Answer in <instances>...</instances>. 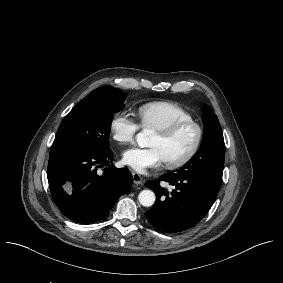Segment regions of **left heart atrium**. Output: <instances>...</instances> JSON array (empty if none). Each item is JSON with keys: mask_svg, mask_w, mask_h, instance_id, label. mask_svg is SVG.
Instances as JSON below:
<instances>
[{"mask_svg": "<svg viewBox=\"0 0 283 283\" xmlns=\"http://www.w3.org/2000/svg\"><path fill=\"white\" fill-rule=\"evenodd\" d=\"M124 162L138 172L150 168L160 167L164 163L162 152L159 148L148 149L130 148L123 153Z\"/></svg>", "mask_w": 283, "mask_h": 283, "instance_id": "left-heart-atrium-1", "label": "left heart atrium"}]
</instances>
